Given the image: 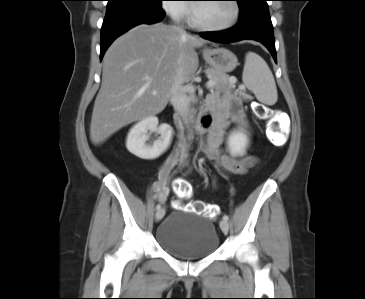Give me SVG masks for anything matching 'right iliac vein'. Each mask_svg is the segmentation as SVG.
Instances as JSON below:
<instances>
[{
    "label": "right iliac vein",
    "instance_id": "obj_1",
    "mask_svg": "<svg viewBox=\"0 0 365 299\" xmlns=\"http://www.w3.org/2000/svg\"><path fill=\"white\" fill-rule=\"evenodd\" d=\"M165 215V208H160L155 214L156 221H160Z\"/></svg>",
    "mask_w": 365,
    "mask_h": 299
}]
</instances>
